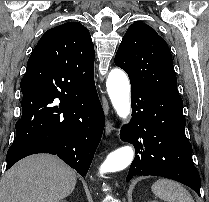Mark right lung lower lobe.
I'll use <instances>...</instances> for the list:
<instances>
[{"label": "right lung lower lobe", "instance_id": "98d812e1", "mask_svg": "<svg viewBox=\"0 0 209 202\" xmlns=\"http://www.w3.org/2000/svg\"><path fill=\"white\" fill-rule=\"evenodd\" d=\"M20 88L22 116L6 169L28 155L50 153L85 176L105 124L95 82L74 89L62 86L46 69H27Z\"/></svg>", "mask_w": 209, "mask_h": 202}]
</instances>
